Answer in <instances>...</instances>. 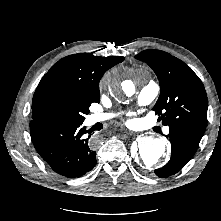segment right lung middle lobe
I'll list each match as a JSON object with an SVG mask.
<instances>
[{
    "instance_id": "dd1d6c3e",
    "label": "right lung middle lobe",
    "mask_w": 221,
    "mask_h": 221,
    "mask_svg": "<svg viewBox=\"0 0 221 221\" xmlns=\"http://www.w3.org/2000/svg\"><path fill=\"white\" fill-rule=\"evenodd\" d=\"M100 101V93L91 94L64 84L45 86L32 104V116L37 120L84 121L93 102Z\"/></svg>"
}]
</instances>
